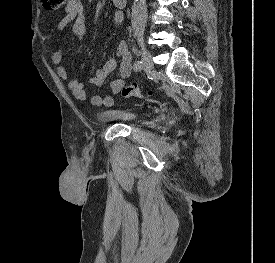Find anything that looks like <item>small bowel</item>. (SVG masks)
<instances>
[{
	"instance_id": "obj_1",
	"label": "small bowel",
	"mask_w": 275,
	"mask_h": 263,
	"mask_svg": "<svg viewBox=\"0 0 275 263\" xmlns=\"http://www.w3.org/2000/svg\"><path fill=\"white\" fill-rule=\"evenodd\" d=\"M113 22L119 26L123 22V15L120 12H115ZM71 26L72 33L78 39H83L86 35V23L84 17V6L81 0H68L65 7V15L58 24V30L64 31L68 26ZM63 54L60 49L56 50L52 55V62L57 66L58 75L67 81L68 88L78 100L84 101L88 98V94L84 85L70 78L69 72L62 63ZM117 61H119V74L116 79L110 83V89L113 94L118 93L124 85L125 79L132 72V57L129 52L127 43L121 41L115 52V57H110L99 68L95 74L89 78L88 82L94 86L100 87L104 84L108 76L116 69ZM91 105L95 107H111L114 103L112 94L103 96L93 95L89 98Z\"/></svg>"
}]
</instances>
